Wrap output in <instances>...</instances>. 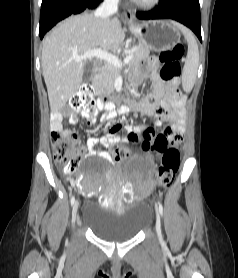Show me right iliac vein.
<instances>
[{"label": "right iliac vein", "instance_id": "obj_1", "mask_svg": "<svg viewBox=\"0 0 238 278\" xmlns=\"http://www.w3.org/2000/svg\"><path fill=\"white\" fill-rule=\"evenodd\" d=\"M78 207H79V203L76 201L73 204V209H72V223H73V227L75 226V223L78 219Z\"/></svg>", "mask_w": 238, "mask_h": 278}]
</instances>
